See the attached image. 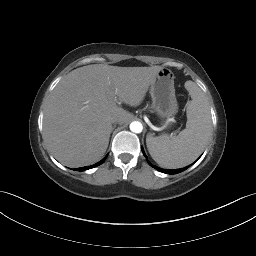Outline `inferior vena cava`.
Here are the masks:
<instances>
[{"instance_id":"602c4592","label":"inferior vena cava","mask_w":256,"mask_h":256,"mask_svg":"<svg viewBox=\"0 0 256 256\" xmlns=\"http://www.w3.org/2000/svg\"><path fill=\"white\" fill-rule=\"evenodd\" d=\"M112 122L114 123V122H119V117L118 116H114L113 118H112Z\"/></svg>"}]
</instances>
